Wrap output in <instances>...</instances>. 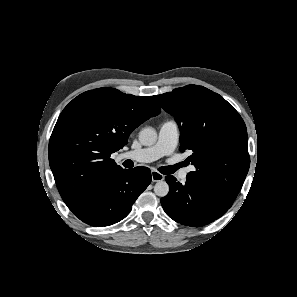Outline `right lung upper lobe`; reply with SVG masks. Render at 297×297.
Instances as JSON below:
<instances>
[{"label": "right lung upper lobe", "mask_w": 297, "mask_h": 297, "mask_svg": "<svg viewBox=\"0 0 297 297\" xmlns=\"http://www.w3.org/2000/svg\"><path fill=\"white\" fill-rule=\"evenodd\" d=\"M161 112L152 96L113 88L86 91L60 114L49 141V164L71 211L123 168L110 158L141 123Z\"/></svg>", "instance_id": "obj_1"}]
</instances>
